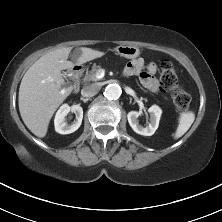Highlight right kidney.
<instances>
[{
  "label": "right kidney",
  "instance_id": "1",
  "mask_svg": "<svg viewBox=\"0 0 222 222\" xmlns=\"http://www.w3.org/2000/svg\"><path fill=\"white\" fill-rule=\"evenodd\" d=\"M70 111L74 112L76 115V120L72 124H68L65 118ZM82 119L83 109L80 105H73L72 107H70L67 104H64L59 108L55 115V130L60 134L73 133L80 127Z\"/></svg>",
  "mask_w": 222,
  "mask_h": 222
}]
</instances>
